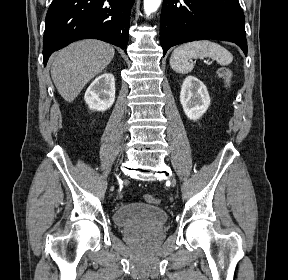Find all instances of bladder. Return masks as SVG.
Returning a JSON list of instances; mask_svg holds the SVG:
<instances>
[{
	"instance_id": "31cf9c89",
	"label": "bladder",
	"mask_w": 288,
	"mask_h": 280,
	"mask_svg": "<svg viewBox=\"0 0 288 280\" xmlns=\"http://www.w3.org/2000/svg\"><path fill=\"white\" fill-rule=\"evenodd\" d=\"M113 220L122 228L154 231L166 224L168 215L155 205L130 203L117 208Z\"/></svg>"
}]
</instances>
